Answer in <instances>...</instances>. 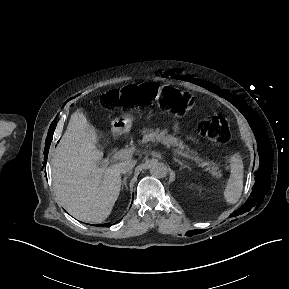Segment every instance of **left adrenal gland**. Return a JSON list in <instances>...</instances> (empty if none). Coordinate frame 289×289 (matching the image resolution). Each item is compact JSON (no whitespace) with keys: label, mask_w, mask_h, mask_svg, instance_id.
I'll return each instance as SVG.
<instances>
[{"label":"left adrenal gland","mask_w":289,"mask_h":289,"mask_svg":"<svg viewBox=\"0 0 289 289\" xmlns=\"http://www.w3.org/2000/svg\"><path fill=\"white\" fill-rule=\"evenodd\" d=\"M173 160L180 165V169H183V168L190 169V167L188 165H186L185 162L180 161L178 158L173 157Z\"/></svg>","instance_id":"left-adrenal-gland-1"}]
</instances>
